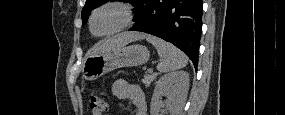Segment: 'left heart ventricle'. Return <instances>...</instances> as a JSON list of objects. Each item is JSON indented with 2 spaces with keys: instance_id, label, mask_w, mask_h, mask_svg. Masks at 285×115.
<instances>
[{
  "instance_id": "b2bd125f",
  "label": "left heart ventricle",
  "mask_w": 285,
  "mask_h": 115,
  "mask_svg": "<svg viewBox=\"0 0 285 115\" xmlns=\"http://www.w3.org/2000/svg\"><path fill=\"white\" fill-rule=\"evenodd\" d=\"M121 21L119 13L112 8L101 10L93 21V30L96 33H105L114 29Z\"/></svg>"
}]
</instances>
